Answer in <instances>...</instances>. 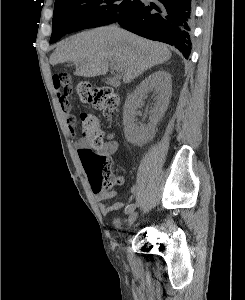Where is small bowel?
<instances>
[{"instance_id":"1","label":"small bowel","mask_w":245,"mask_h":300,"mask_svg":"<svg viewBox=\"0 0 245 300\" xmlns=\"http://www.w3.org/2000/svg\"><path fill=\"white\" fill-rule=\"evenodd\" d=\"M58 95L60 97L59 102H60L61 110L63 111V113L66 116L68 130H69L70 134L72 135L73 142L77 146L78 151H79L81 148L87 147L88 143L86 140H84L83 138H80L79 136L76 135L77 123H76L75 118L70 114V107H69V103H68L66 96L62 95L60 93H58ZM117 149H118V142L115 139V133L114 132L105 133L103 135L102 145L98 149L99 154L106 157L107 159H109L117 151ZM123 183H124L123 177L118 176L116 178V184L122 185ZM137 190L138 189L136 186L131 187L130 199H132L135 196V194L137 193ZM113 196H114L113 191L105 193V194H99L96 196V199L99 202L100 210L103 213H108V212L118 210L123 207V205H124L123 202H116L112 205H106L103 203L104 200L112 198Z\"/></svg>"}]
</instances>
